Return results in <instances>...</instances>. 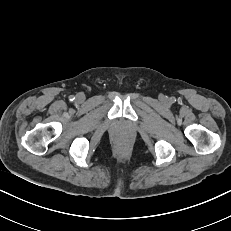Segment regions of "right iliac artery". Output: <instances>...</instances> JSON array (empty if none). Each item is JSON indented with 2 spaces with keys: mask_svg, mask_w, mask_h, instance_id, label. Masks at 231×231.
I'll return each instance as SVG.
<instances>
[{
  "mask_svg": "<svg viewBox=\"0 0 231 231\" xmlns=\"http://www.w3.org/2000/svg\"><path fill=\"white\" fill-rule=\"evenodd\" d=\"M69 98H70V101H73L75 99V97L72 95Z\"/></svg>",
  "mask_w": 231,
  "mask_h": 231,
  "instance_id": "82829eb1",
  "label": "right iliac artery"
}]
</instances>
